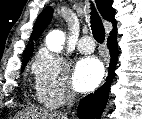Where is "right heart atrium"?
<instances>
[{
    "label": "right heart atrium",
    "mask_w": 142,
    "mask_h": 119,
    "mask_svg": "<svg viewBox=\"0 0 142 119\" xmlns=\"http://www.w3.org/2000/svg\"><path fill=\"white\" fill-rule=\"evenodd\" d=\"M32 72L37 98L45 106L57 108L73 98L68 65L59 55L40 52L32 64Z\"/></svg>",
    "instance_id": "d8ad5b80"
}]
</instances>
